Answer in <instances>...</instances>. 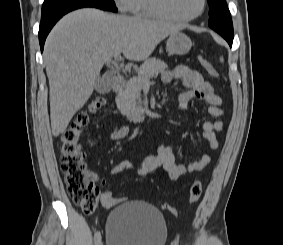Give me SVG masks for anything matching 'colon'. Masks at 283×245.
<instances>
[{"instance_id": "5ec220e1", "label": "colon", "mask_w": 283, "mask_h": 245, "mask_svg": "<svg viewBox=\"0 0 283 245\" xmlns=\"http://www.w3.org/2000/svg\"><path fill=\"white\" fill-rule=\"evenodd\" d=\"M200 63L212 78H218L219 72L215 66L203 57ZM104 104L101 98L96 99L90 106L89 113L97 111ZM89 113H81L61 136L59 147L61 170L64 175L67 192L72 201L85 213L93 212L100 202L105 208L117 206L121 200L115 197L110 190L100 193L98 186L91 180L86 170L85 154L80 147V138L84 127L88 124ZM202 195V184L195 181L189 189V201L197 202ZM167 210L176 213V210L164 205Z\"/></svg>"}]
</instances>
